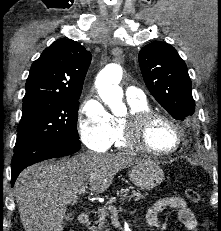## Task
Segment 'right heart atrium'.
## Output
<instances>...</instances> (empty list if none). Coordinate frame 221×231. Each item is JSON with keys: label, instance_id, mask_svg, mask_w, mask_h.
Listing matches in <instances>:
<instances>
[{"label": "right heart atrium", "instance_id": "obj_1", "mask_svg": "<svg viewBox=\"0 0 221 231\" xmlns=\"http://www.w3.org/2000/svg\"><path fill=\"white\" fill-rule=\"evenodd\" d=\"M78 128L86 147L105 151L114 140L115 119L98 98L88 96L79 109Z\"/></svg>", "mask_w": 221, "mask_h": 231}]
</instances>
